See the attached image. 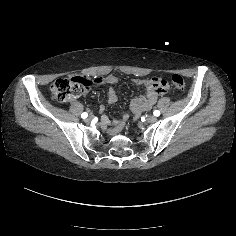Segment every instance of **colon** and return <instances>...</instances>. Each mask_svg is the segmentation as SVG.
<instances>
[{
	"mask_svg": "<svg viewBox=\"0 0 236 236\" xmlns=\"http://www.w3.org/2000/svg\"><path fill=\"white\" fill-rule=\"evenodd\" d=\"M158 84H162V80ZM172 84L177 89L182 90L185 82L182 76L174 74L171 78ZM91 80L85 76H75L69 78H61L56 80L51 86L52 97L58 102H66L72 98L78 97L85 93L91 86Z\"/></svg>",
	"mask_w": 236,
	"mask_h": 236,
	"instance_id": "5ec220e1",
	"label": "colon"
}]
</instances>
